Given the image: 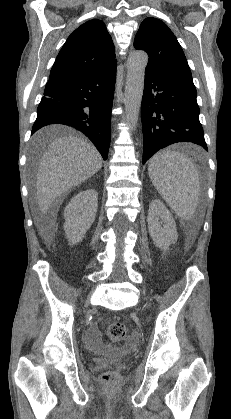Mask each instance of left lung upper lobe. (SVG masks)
Here are the masks:
<instances>
[{
    "label": "left lung upper lobe",
    "mask_w": 231,
    "mask_h": 419,
    "mask_svg": "<svg viewBox=\"0 0 231 419\" xmlns=\"http://www.w3.org/2000/svg\"><path fill=\"white\" fill-rule=\"evenodd\" d=\"M134 47L149 56L146 72L192 81L191 71L177 38L161 20L148 17L140 25Z\"/></svg>",
    "instance_id": "1"
}]
</instances>
